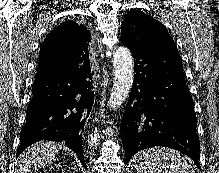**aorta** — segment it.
<instances>
[{
    "instance_id": "762f6f07",
    "label": "aorta",
    "mask_w": 219,
    "mask_h": 173,
    "mask_svg": "<svg viewBox=\"0 0 219 173\" xmlns=\"http://www.w3.org/2000/svg\"><path fill=\"white\" fill-rule=\"evenodd\" d=\"M114 81L109 98V108L119 107L129 96L134 81L133 58L127 47L121 46L113 54ZM99 134L97 129L88 140L90 146H97Z\"/></svg>"
}]
</instances>
